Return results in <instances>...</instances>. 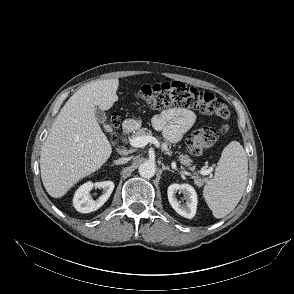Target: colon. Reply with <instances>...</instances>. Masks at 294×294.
I'll return each mask as SVG.
<instances>
[{"instance_id": "1", "label": "colon", "mask_w": 294, "mask_h": 294, "mask_svg": "<svg viewBox=\"0 0 294 294\" xmlns=\"http://www.w3.org/2000/svg\"><path fill=\"white\" fill-rule=\"evenodd\" d=\"M138 97L151 109H163L169 106H185L195 109L205 115H213L224 122L218 129L211 126H201L187 137V147L193 155H201L209 149L218 139L219 133L228 130L229 110L224 100L211 92L202 91L190 87L182 82H162L142 86ZM119 120L116 114L110 118L112 128L118 126ZM115 136L112 134V139Z\"/></svg>"}]
</instances>
